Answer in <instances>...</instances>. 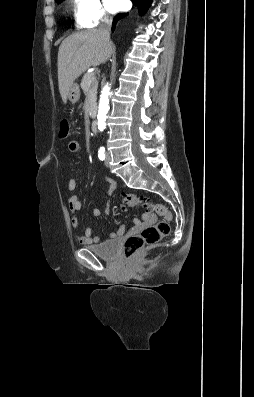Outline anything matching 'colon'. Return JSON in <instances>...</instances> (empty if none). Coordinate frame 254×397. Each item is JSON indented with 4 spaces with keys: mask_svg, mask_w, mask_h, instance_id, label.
<instances>
[{
    "mask_svg": "<svg viewBox=\"0 0 254 397\" xmlns=\"http://www.w3.org/2000/svg\"><path fill=\"white\" fill-rule=\"evenodd\" d=\"M59 138L66 139L70 135L69 123L62 120L59 124ZM122 203L127 207L132 208H146L150 212L163 217L153 226L144 228L139 234L129 236L123 245V253L125 257H132L140 249L145 246L156 244L161 239L169 235L171 231L170 221L172 218L171 212L162 204L153 203L148 198L132 193H125L122 195Z\"/></svg>",
    "mask_w": 254,
    "mask_h": 397,
    "instance_id": "obj_1",
    "label": "colon"
}]
</instances>
